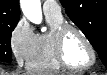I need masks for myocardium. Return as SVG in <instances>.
Returning a JSON list of instances; mask_svg holds the SVG:
<instances>
[{
  "mask_svg": "<svg viewBox=\"0 0 107 75\" xmlns=\"http://www.w3.org/2000/svg\"><path fill=\"white\" fill-rule=\"evenodd\" d=\"M69 32H76L87 45L90 55H91V60L88 64L84 66H73L67 61L65 54H64V40H65L66 35ZM54 53H55V58L57 62L62 68H65L70 71H76V72L86 71L90 69L91 67L94 66L96 62V58H97L95 48L92 42L90 41V39L87 37V35L80 28L74 25H70V24H63L59 28H57V30L55 31Z\"/></svg>",
  "mask_w": 107,
  "mask_h": 75,
  "instance_id": "1",
  "label": "myocardium"
}]
</instances>
